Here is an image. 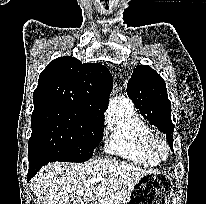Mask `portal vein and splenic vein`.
I'll return each instance as SVG.
<instances>
[{"instance_id": "1", "label": "portal vein and splenic vein", "mask_w": 206, "mask_h": 204, "mask_svg": "<svg viewBox=\"0 0 206 204\" xmlns=\"http://www.w3.org/2000/svg\"><path fill=\"white\" fill-rule=\"evenodd\" d=\"M102 180V177H97V178H95V182H99V181H101Z\"/></svg>"}]
</instances>
